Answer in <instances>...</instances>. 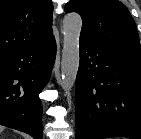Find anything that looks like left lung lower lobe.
Segmentation results:
<instances>
[{
  "mask_svg": "<svg viewBox=\"0 0 141 139\" xmlns=\"http://www.w3.org/2000/svg\"><path fill=\"white\" fill-rule=\"evenodd\" d=\"M76 139H141V53L80 37Z\"/></svg>",
  "mask_w": 141,
  "mask_h": 139,
  "instance_id": "1",
  "label": "left lung lower lobe"
}]
</instances>
